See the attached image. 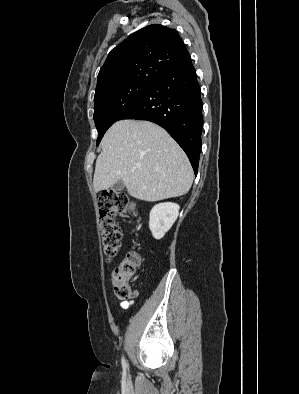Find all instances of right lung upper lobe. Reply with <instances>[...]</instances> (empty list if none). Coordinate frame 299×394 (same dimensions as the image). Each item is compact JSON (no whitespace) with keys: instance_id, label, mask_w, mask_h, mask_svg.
<instances>
[{"instance_id":"right-lung-upper-lobe-1","label":"right lung upper lobe","mask_w":299,"mask_h":394,"mask_svg":"<svg viewBox=\"0 0 299 394\" xmlns=\"http://www.w3.org/2000/svg\"><path fill=\"white\" fill-rule=\"evenodd\" d=\"M189 56L176 30L146 26L112 49L98 74L95 95L131 83H152Z\"/></svg>"}]
</instances>
